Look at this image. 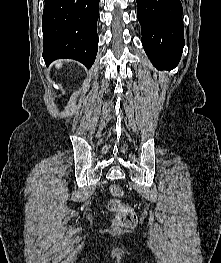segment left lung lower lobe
Listing matches in <instances>:
<instances>
[{"label": "left lung lower lobe", "mask_w": 221, "mask_h": 263, "mask_svg": "<svg viewBox=\"0 0 221 263\" xmlns=\"http://www.w3.org/2000/svg\"><path fill=\"white\" fill-rule=\"evenodd\" d=\"M141 24L142 45L153 65L171 70L184 47V28L180 0H136Z\"/></svg>", "instance_id": "obj_1"}]
</instances>
